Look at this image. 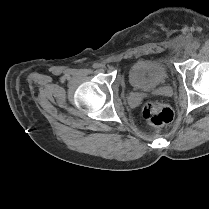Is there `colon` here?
I'll return each instance as SVG.
<instances>
[{"label":"colon","mask_w":209,"mask_h":209,"mask_svg":"<svg viewBox=\"0 0 209 209\" xmlns=\"http://www.w3.org/2000/svg\"><path fill=\"white\" fill-rule=\"evenodd\" d=\"M144 120L156 127H162L169 124L174 117L173 109L160 102L147 103L142 111Z\"/></svg>","instance_id":"obj_1"}]
</instances>
